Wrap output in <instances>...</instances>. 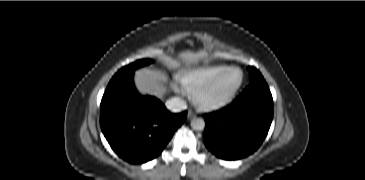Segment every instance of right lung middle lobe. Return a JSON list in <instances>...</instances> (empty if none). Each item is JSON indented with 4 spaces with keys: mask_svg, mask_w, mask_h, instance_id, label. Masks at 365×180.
I'll return each instance as SVG.
<instances>
[{
    "mask_svg": "<svg viewBox=\"0 0 365 180\" xmlns=\"http://www.w3.org/2000/svg\"><path fill=\"white\" fill-rule=\"evenodd\" d=\"M152 62L151 59H142V60H138L128 66H125L123 67L122 69H120L116 74L115 76H118V75H122L124 73H127V72H133L135 69L139 68V67H142L144 65H147V64H150Z\"/></svg>",
    "mask_w": 365,
    "mask_h": 180,
    "instance_id": "obj_1",
    "label": "right lung middle lobe"
}]
</instances>
